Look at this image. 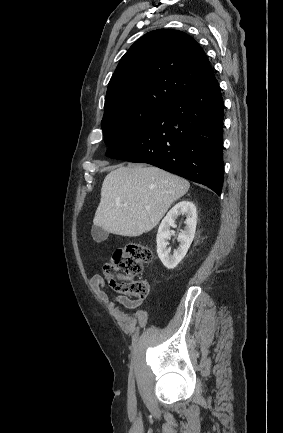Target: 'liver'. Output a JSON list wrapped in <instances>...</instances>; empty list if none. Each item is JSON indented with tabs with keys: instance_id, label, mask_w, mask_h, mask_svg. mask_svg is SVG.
I'll return each mask as SVG.
<instances>
[{
	"instance_id": "6515ba94",
	"label": "liver",
	"mask_w": 283,
	"mask_h": 433,
	"mask_svg": "<svg viewBox=\"0 0 283 433\" xmlns=\"http://www.w3.org/2000/svg\"><path fill=\"white\" fill-rule=\"evenodd\" d=\"M190 182L157 166H123L105 176L94 225L103 231L140 237L154 229Z\"/></svg>"
}]
</instances>
